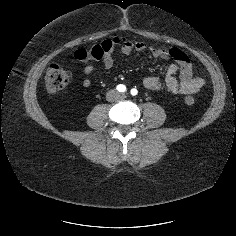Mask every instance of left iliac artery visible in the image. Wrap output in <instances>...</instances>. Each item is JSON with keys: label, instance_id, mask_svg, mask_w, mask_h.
<instances>
[{"label": "left iliac artery", "instance_id": "1", "mask_svg": "<svg viewBox=\"0 0 236 236\" xmlns=\"http://www.w3.org/2000/svg\"><path fill=\"white\" fill-rule=\"evenodd\" d=\"M130 93L132 96H135V95H137L138 91H137V89L133 88V89H131Z\"/></svg>", "mask_w": 236, "mask_h": 236}]
</instances>
